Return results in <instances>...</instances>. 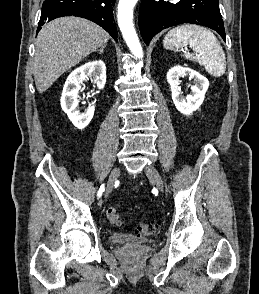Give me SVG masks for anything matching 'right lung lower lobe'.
Listing matches in <instances>:
<instances>
[{
    "label": "right lung lower lobe",
    "mask_w": 259,
    "mask_h": 294,
    "mask_svg": "<svg viewBox=\"0 0 259 294\" xmlns=\"http://www.w3.org/2000/svg\"><path fill=\"white\" fill-rule=\"evenodd\" d=\"M114 5L115 0H45L37 32L55 18L73 15L97 23L117 41V29L113 23Z\"/></svg>",
    "instance_id": "obj_1"
}]
</instances>
